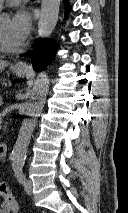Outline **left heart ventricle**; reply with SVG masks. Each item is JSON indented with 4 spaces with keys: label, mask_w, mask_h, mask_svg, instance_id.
Returning <instances> with one entry per match:
<instances>
[{
    "label": "left heart ventricle",
    "mask_w": 128,
    "mask_h": 213,
    "mask_svg": "<svg viewBox=\"0 0 128 213\" xmlns=\"http://www.w3.org/2000/svg\"><path fill=\"white\" fill-rule=\"evenodd\" d=\"M0 32L9 45L19 46L13 38L11 31V21L9 18L0 19Z\"/></svg>",
    "instance_id": "1"
}]
</instances>
